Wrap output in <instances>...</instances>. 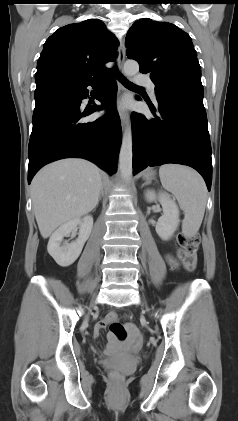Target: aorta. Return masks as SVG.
<instances>
[{"instance_id":"1","label":"aorta","mask_w":238,"mask_h":421,"mask_svg":"<svg viewBox=\"0 0 238 421\" xmlns=\"http://www.w3.org/2000/svg\"><path fill=\"white\" fill-rule=\"evenodd\" d=\"M126 76H134L139 72V64L135 60H127L123 68ZM132 129L128 126L122 137V144L119 154V168L121 176L126 182H130L132 178Z\"/></svg>"}]
</instances>
